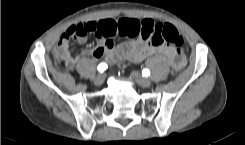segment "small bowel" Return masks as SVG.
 <instances>
[{
  "instance_id": "1",
  "label": "small bowel",
  "mask_w": 245,
  "mask_h": 145,
  "mask_svg": "<svg viewBox=\"0 0 245 145\" xmlns=\"http://www.w3.org/2000/svg\"><path fill=\"white\" fill-rule=\"evenodd\" d=\"M131 22L143 24L150 21L145 20L141 22L134 18H122L119 20L111 18L88 20L84 23L91 26L92 32L97 38L95 47L84 49L80 51L79 54L73 55L69 50V42H66L63 46L58 44L56 51L61 48L63 49L65 53L64 62L68 68H73L80 57H101L103 55L110 60L124 59L132 63H140L153 55L164 54L172 61L176 59L180 60L182 64L185 63V58L180 52L165 45L154 46L141 40L116 43L109 38L111 32L120 31L121 24H128ZM85 41V37L78 39L79 43H84Z\"/></svg>"
}]
</instances>
